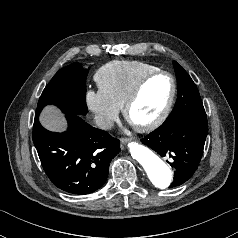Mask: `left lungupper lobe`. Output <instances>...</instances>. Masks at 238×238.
<instances>
[{
	"label": "left lung upper lobe",
	"mask_w": 238,
	"mask_h": 238,
	"mask_svg": "<svg viewBox=\"0 0 238 238\" xmlns=\"http://www.w3.org/2000/svg\"><path fill=\"white\" fill-rule=\"evenodd\" d=\"M174 68L177 77L178 98L167 119L183 114H205L199 91L189 74L177 62H174Z\"/></svg>",
	"instance_id": "1"
}]
</instances>
